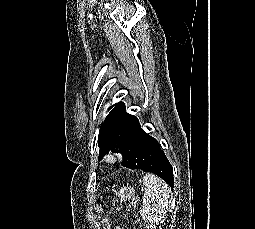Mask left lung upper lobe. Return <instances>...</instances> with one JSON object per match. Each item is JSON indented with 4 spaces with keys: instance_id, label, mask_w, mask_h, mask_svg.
I'll list each match as a JSON object with an SVG mask.
<instances>
[{
    "instance_id": "obj_1",
    "label": "left lung upper lobe",
    "mask_w": 255,
    "mask_h": 229,
    "mask_svg": "<svg viewBox=\"0 0 255 229\" xmlns=\"http://www.w3.org/2000/svg\"><path fill=\"white\" fill-rule=\"evenodd\" d=\"M119 102L114 105V107L109 108V113L106 116L104 122L101 124L99 135H98V146L99 150V160L108 153L109 150L112 152H119L124 154L125 149L129 143V139L122 133L113 130L110 127V117L112 113L121 105Z\"/></svg>"
}]
</instances>
